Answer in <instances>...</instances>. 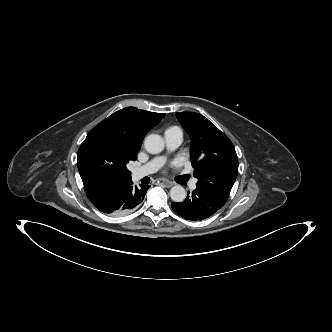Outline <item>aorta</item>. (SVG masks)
I'll return each instance as SVG.
<instances>
[{"label":"aorta","mask_w":332,"mask_h":332,"mask_svg":"<svg viewBox=\"0 0 332 332\" xmlns=\"http://www.w3.org/2000/svg\"><path fill=\"white\" fill-rule=\"evenodd\" d=\"M144 147L151 154H158L164 149V140L158 134H150L145 138ZM170 197L174 202H183L186 198L185 189L180 186H174L170 190Z\"/></svg>","instance_id":"obj_1"}]
</instances>
